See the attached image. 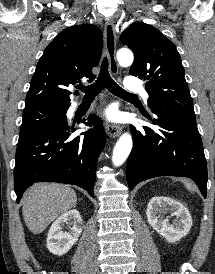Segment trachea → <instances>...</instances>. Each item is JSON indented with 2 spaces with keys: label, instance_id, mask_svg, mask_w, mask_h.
Masks as SVG:
<instances>
[{
  "label": "trachea",
  "instance_id": "1",
  "mask_svg": "<svg viewBox=\"0 0 215 274\" xmlns=\"http://www.w3.org/2000/svg\"><path fill=\"white\" fill-rule=\"evenodd\" d=\"M77 88L85 93V97H95L104 88L108 89L114 95L119 97H137L135 94H131L124 89H122L110 76L108 72V59L105 57L101 64L100 74L97 80L88 86L78 85Z\"/></svg>",
  "mask_w": 215,
  "mask_h": 274
}]
</instances>
